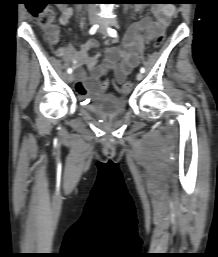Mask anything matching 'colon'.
Returning <instances> with one entry per match:
<instances>
[{
	"label": "colon",
	"instance_id": "colon-1",
	"mask_svg": "<svg viewBox=\"0 0 218 257\" xmlns=\"http://www.w3.org/2000/svg\"><path fill=\"white\" fill-rule=\"evenodd\" d=\"M26 10H35L34 14L39 18V21L42 26L48 28L49 37L51 40L55 39L56 32L55 29L51 26L53 20V13L48 8H42V5H26ZM166 31L159 30L158 38L154 41V46L159 47L162 44L163 39L166 38ZM123 92L128 93L132 89V83L126 82L123 87ZM100 90H103L104 94H112L113 98L117 97V94L120 93L118 82H115L114 79H104L101 82Z\"/></svg>",
	"mask_w": 218,
	"mask_h": 257
}]
</instances>
